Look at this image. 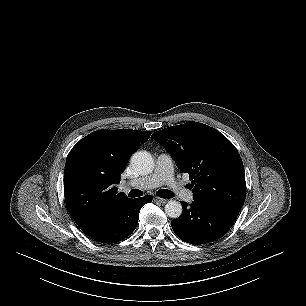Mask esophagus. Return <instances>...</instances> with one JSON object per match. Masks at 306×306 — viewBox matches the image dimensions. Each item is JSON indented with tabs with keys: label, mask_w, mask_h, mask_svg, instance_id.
Masks as SVG:
<instances>
[{
	"label": "esophagus",
	"mask_w": 306,
	"mask_h": 306,
	"mask_svg": "<svg viewBox=\"0 0 306 306\" xmlns=\"http://www.w3.org/2000/svg\"><path fill=\"white\" fill-rule=\"evenodd\" d=\"M153 200H154L155 202H159V203H162V204H164V203H166V202L168 201L167 199L160 198V197H158V196H154V197H153Z\"/></svg>",
	"instance_id": "obj_1"
}]
</instances>
